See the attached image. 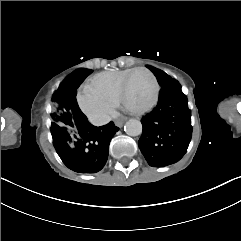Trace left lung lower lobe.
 I'll return each mask as SVG.
<instances>
[{"mask_svg":"<svg viewBox=\"0 0 241 241\" xmlns=\"http://www.w3.org/2000/svg\"><path fill=\"white\" fill-rule=\"evenodd\" d=\"M191 111L187 98L176 81L160 90L156 108L143 117L139 148L152 167L179 161L191 140Z\"/></svg>","mask_w":241,"mask_h":241,"instance_id":"obj_1","label":"left lung lower lobe"}]
</instances>
